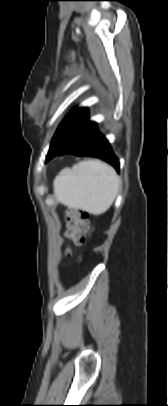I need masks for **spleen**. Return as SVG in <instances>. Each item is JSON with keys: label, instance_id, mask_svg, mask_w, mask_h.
Returning <instances> with one entry per match:
<instances>
[{"label": "spleen", "instance_id": "1", "mask_svg": "<svg viewBox=\"0 0 168 406\" xmlns=\"http://www.w3.org/2000/svg\"><path fill=\"white\" fill-rule=\"evenodd\" d=\"M120 182L110 165L86 160L59 172L53 183L54 195L58 202L70 208L100 215L113 204Z\"/></svg>", "mask_w": 168, "mask_h": 406}]
</instances>
